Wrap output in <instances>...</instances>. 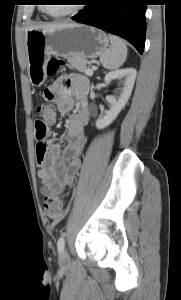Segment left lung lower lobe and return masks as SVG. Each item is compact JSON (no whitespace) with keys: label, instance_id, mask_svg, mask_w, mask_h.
<instances>
[{"label":"left lung lower lobe","instance_id":"obj_1","mask_svg":"<svg viewBox=\"0 0 181 300\" xmlns=\"http://www.w3.org/2000/svg\"><path fill=\"white\" fill-rule=\"evenodd\" d=\"M86 7L73 20L129 41L143 53L146 33V0H85Z\"/></svg>","mask_w":181,"mask_h":300}]
</instances>
